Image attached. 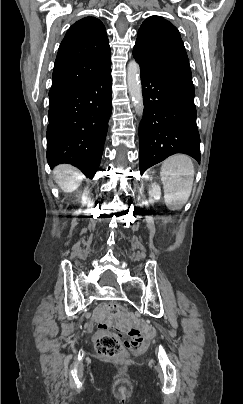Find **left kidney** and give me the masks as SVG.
<instances>
[{
    "label": "left kidney",
    "mask_w": 243,
    "mask_h": 404,
    "mask_svg": "<svg viewBox=\"0 0 243 404\" xmlns=\"http://www.w3.org/2000/svg\"><path fill=\"white\" fill-rule=\"evenodd\" d=\"M161 198V190L160 186L154 182V184H151L149 188V202L150 204H154V202H157V200H160Z\"/></svg>",
    "instance_id": "5707ae66"
}]
</instances>
